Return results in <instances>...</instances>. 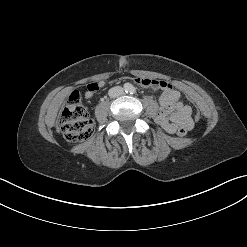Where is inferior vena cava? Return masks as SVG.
Wrapping results in <instances>:
<instances>
[{"label": "inferior vena cava", "mask_w": 247, "mask_h": 247, "mask_svg": "<svg viewBox=\"0 0 247 247\" xmlns=\"http://www.w3.org/2000/svg\"><path fill=\"white\" fill-rule=\"evenodd\" d=\"M124 90L121 86L113 87L109 90L108 94L111 98L119 97L123 94Z\"/></svg>", "instance_id": "obj_1"}]
</instances>
